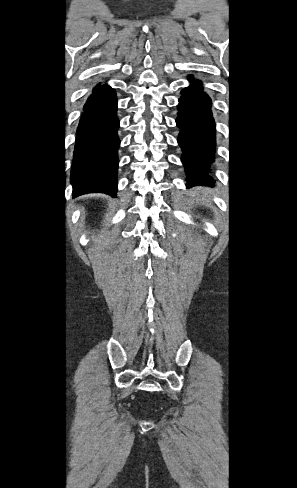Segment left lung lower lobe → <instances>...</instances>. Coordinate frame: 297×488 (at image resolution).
<instances>
[{
	"mask_svg": "<svg viewBox=\"0 0 297 488\" xmlns=\"http://www.w3.org/2000/svg\"><path fill=\"white\" fill-rule=\"evenodd\" d=\"M191 85L181 92L177 126L181 129L178 143L183 150L187 184L212 185L208 175L215 150V123L211 113V99L202 90V83L189 77Z\"/></svg>",
	"mask_w": 297,
	"mask_h": 488,
	"instance_id": "obj_1",
	"label": "left lung lower lobe"
}]
</instances>
